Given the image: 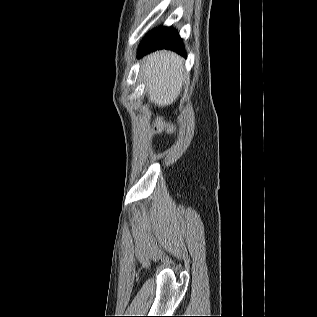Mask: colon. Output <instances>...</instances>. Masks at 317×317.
Returning a JSON list of instances; mask_svg holds the SVG:
<instances>
[{
    "instance_id": "colon-1",
    "label": "colon",
    "mask_w": 317,
    "mask_h": 317,
    "mask_svg": "<svg viewBox=\"0 0 317 317\" xmlns=\"http://www.w3.org/2000/svg\"><path fill=\"white\" fill-rule=\"evenodd\" d=\"M164 127H165V124H163V122H158V125H157L158 129H161V128H164Z\"/></svg>"
}]
</instances>
